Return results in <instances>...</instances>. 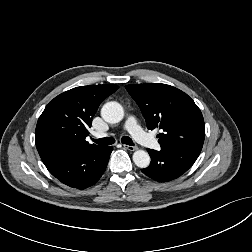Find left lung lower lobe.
<instances>
[{
  "instance_id": "obj_1",
  "label": "left lung lower lobe",
  "mask_w": 252,
  "mask_h": 252,
  "mask_svg": "<svg viewBox=\"0 0 252 252\" xmlns=\"http://www.w3.org/2000/svg\"><path fill=\"white\" fill-rule=\"evenodd\" d=\"M147 150L151 163L149 167L142 169V172L158 182L178 178L194 164L200 154L194 150L172 147H161L160 151Z\"/></svg>"
}]
</instances>
